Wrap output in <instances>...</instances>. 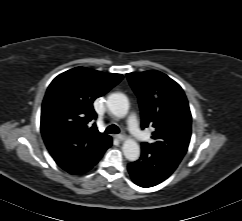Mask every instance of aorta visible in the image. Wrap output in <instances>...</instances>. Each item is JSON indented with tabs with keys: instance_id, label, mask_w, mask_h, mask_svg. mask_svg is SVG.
Segmentation results:
<instances>
[{
	"instance_id": "762f6f07",
	"label": "aorta",
	"mask_w": 242,
	"mask_h": 221,
	"mask_svg": "<svg viewBox=\"0 0 242 221\" xmlns=\"http://www.w3.org/2000/svg\"><path fill=\"white\" fill-rule=\"evenodd\" d=\"M107 107L113 115L123 118L128 113L129 102L125 95L112 93L108 96ZM122 150L125 158L129 161H136L140 156V146L134 139H126L123 143Z\"/></svg>"
}]
</instances>
